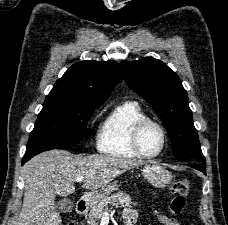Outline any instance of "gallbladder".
I'll return each mask as SVG.
<instances>
[{"label": "gallbladder", "instance_id": "1", "mask_svg": "<svg viewBox=\"0 0 228 225\" xmlns=\"http://www.w3.org/2000/svg\"><path fill=\"white\" fill-rule=\"evenodd\" d=\"M59 213H71L73 211V201L71 199H61L57 203Z\"/></svg>", "mask_w": 228, "mask_h": 225}]
</instances>
